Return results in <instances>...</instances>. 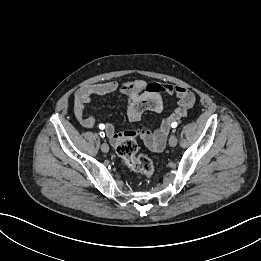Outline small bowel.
Returning <instances> with one entry per match:
<instances>
[{
	"label": "small bowel",
	"instance_id": "c3829d8e",
	"mask_svg": "<svg viewBox=\"0 0 261 261\" xmlns=\"http://www.w3.org/2000/svg\"><path fill=\"white\" fill-rule=\"evenodd\" d=\"M111 93H118L124 98L127 116L131 121L140 120L145 111L162 112L164 109L163 95L168 94L177 97V107L162 120L161 124L154 131L147 129L138 131L146 145L155 151L164 148L171 122L185 116L195 102L194 93L181 85L158 82L147 83L143 79L122 83L117 81L96 83L81 88L75 94V117L82 127L91 129L96 124L94 116H84L85 106L91 103L94 96H103ZM103 125L108 139L114 146L118 145L128 134H133L131 132L119 133L114 125L110 123Z\"/></svg>",
	"mask_w": 261,
	"mask_h": 261
}]
</instances>
